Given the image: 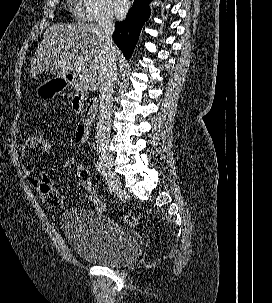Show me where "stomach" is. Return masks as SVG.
<instances>
[{
    "label": "stomach",
    "mask_w": 272,
    "mask_h": 303,
    "mask_svg": "<svg viewBox=\"0 0 272 303\" xmlns=\"http://www.w3.org/2000/svg\"><path fill=\"white\" fill-rule=\"evenodd\" d=\"M68 86L66 79L54 78L45 81L36 88V95L41 98H52L61 93Z\"/></svg>",
    "instance_id": "0dacf381"
}]
</instances>
